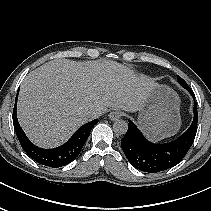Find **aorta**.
<instances>
[{
    "label": "aorta",
    "mask_w": 211,
    "mask_h": 211,
    "mask_svg": "<svg viewBox=\"0 0 211 211\" xmlns=\"http://www.w3.org/2000/svg\"><path fill=\"white\" fill-rule=\"evenodd\" d=\"M128 130V124L124 120H117L113 124V131L117 134L123 135Z\"/></svg>",
    "instance_id": "1"
}]
</instances>
